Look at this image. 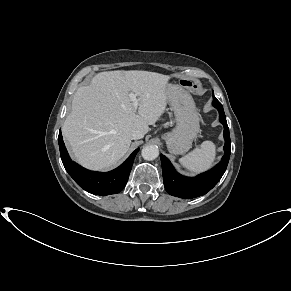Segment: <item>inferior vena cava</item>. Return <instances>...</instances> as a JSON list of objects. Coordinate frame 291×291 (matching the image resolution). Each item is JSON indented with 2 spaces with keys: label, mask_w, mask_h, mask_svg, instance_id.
<instances>
[{
  "label": "inferior vena cava",
  "mask_w": 291,
  "mask_h": 291,
  "mask_svg": "<svg viewBox=\"0 0 291 291\" xmlns=\"http://www.w3.org/2000/svg\"><path fill=\"white\" fill-rule=\"evenodd\" d=\"M144 133L140 130H134L131 134V139H141L143 138Z\"/></svg>",
  "instance_id": "inferior-vena-cava-1"
}]
</instances>
